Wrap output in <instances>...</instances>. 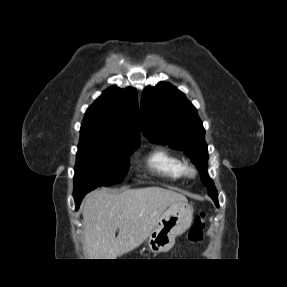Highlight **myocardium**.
Masks as SVG:
<instances>
[{
  "label": "myocardium",
  "instance_id": "1",
  "mask_svg": "<svg viewBox=\"0 0 287 287\" xmlns=\"http://www.w3.org/2000/svg\"><path fill=\"white\" fill-rule=\"evenodd\" d=\"M184 175L188 178H194L197 175V169L193 165H185Z\"/></svg>",
  "mask_w": 287,
  "mask_h": 287
}]
</instances>
